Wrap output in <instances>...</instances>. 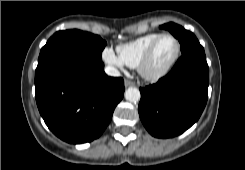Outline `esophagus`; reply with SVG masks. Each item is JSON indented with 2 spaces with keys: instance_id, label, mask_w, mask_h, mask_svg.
Segmentation results:
<instances>
[{
  "instance_id": "esophagus-1",
  "label": "esophagus",
  "mask_w": 245,
  "mask_h": 170,
  "mask_svg": "<svg viewBox=\"0 0 245 170\" xmlns=\"http://www.w3.org/2000/svg\"><path fill=\"white\" fill-rule=\"evenodd\" d=\"M124 84H125V87H128V86H131L133 83L129 80H125Z\"/></svg>"
}]
</instances>
